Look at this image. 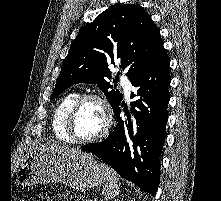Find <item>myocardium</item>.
<instances>
[{
  "label": "myocardium",
  "mask_w": 221,
  "mask_h": 201,
  "mask_svg": "<svg viewBox=\"0 0 221 201\" xmlns=\"http://www.w3.org/2000/svg\"><path fill=\"white\" fill-rule=\"evenodd\" d=\"M90 100H95L102 106L104 110L105 123L100 133H98L97 135L93 137L82 139V138L77 137L74 132V127H73L74 121L81 106L85 102L90 101ZM112 124H113V109H112L110 102L101 94L87 93V94L81 95L71 107L67 116V120H66V131L69 137L71 138L72 142L77 143V144H90V143H94L103 139L109 133L112 127Z\"/></svg>",
  "instance_id": "1"
}]
</instances>
